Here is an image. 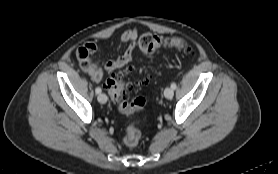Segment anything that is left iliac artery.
I'll return each instance as SVG.
<instances>
[{"instance_id":"1","label":"left iliac artery","mask_w":278,"mask_h":174,"mask_svg":"<svg viewBox=\"0 0 278 174\" xmlns=\"http://www.w3.org/2000/svg\"><path fill=\"white\" fill-rule=\"evenodd\" d=\"M171 88H172L173 90H175V89L177 88L176 83L173 82V83L171 84Z\"/></svg>"}]
</instances>
